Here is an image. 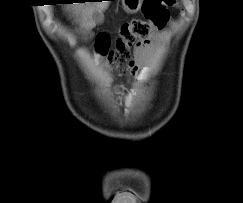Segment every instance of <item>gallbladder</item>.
<instances>
[{
  "label": "gallbladder",
  "instance_id": "bac80fb5",
  "mask_svg": "<svg viewBox=\"0 0 243 203\" xmlns=\"http://www.w3.org/2000/svg\"><path fill=\"white\" fill-rule=\"evenodd\" d=\"M92 20L94 24H101L103 22V15L100 12H94L92 14Z\"/></svg>",
  "mask_w": 243,
  "mask_h": 203
}]
</instances>
